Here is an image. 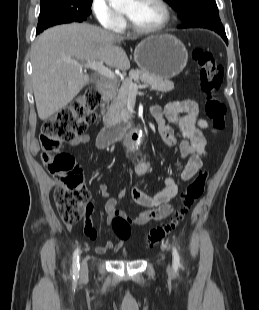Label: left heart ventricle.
Here are the masks:
<instances>
[{
  "instance_id": "b2bd125f",
  "label": "left heart ventricle",
  "mask_w": 259,
  "mask_h": 310,
  "mask_svg": "<svg viewBox=\"0 0 259 310\" xmlns=\"http://www.w3.org/2000/svg\"><path fill=\"white\" fill-rule=\"evenodd\" d=\"M123 13L142 28L155 27L164 17L163 9L156 0H130Z\"/></svg>"
}]
</instances>
